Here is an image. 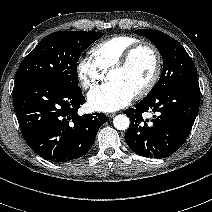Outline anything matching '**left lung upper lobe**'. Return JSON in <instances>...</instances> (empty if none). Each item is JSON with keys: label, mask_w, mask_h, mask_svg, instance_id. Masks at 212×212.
Listing matches in <instances>:
<instances>
[{"label": "left lung upper lobe", "mask_w": 212, "mask_h": 212, "mask_svg": "<svg viewBox=\"0 0 212 212\" xmlns=\"http://www.w3.org/2000/svg\"><path fill=\"white\" fill-rule=\"evenodd\" d=\"M135 33L152 41L163 58V72L149 95L162 92L173 85L197 77L195 65L183 46L167 34L150 29H139Z\"/></svg>", "instance_id": "1"}]
</instances>
